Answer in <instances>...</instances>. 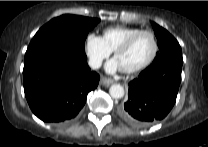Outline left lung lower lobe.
I'll return each instance as SVG.
<instances>
[{
    "instance_id": "obj_1",
    "label": "left lung lower lobe",
    "mask_w": 208,
    "mask_h": 147,
    "mask_svg": "<svg viewBox=\"0 0 208 147\" xmlns=\"http://www.w3.org/2000/svg\"><path fill=\"white\" fill-rule=\"evenodd\" d=\"M183 62L165 57L153 62L129 83L128 100L119 109L121 118L135 127L162 120L176 102Z\"/></svg>"
}]
</instances>
